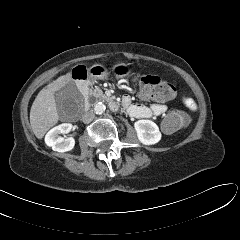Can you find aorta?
I'll use <instances>...</instances> for the list:
<instances>
[{
    "label": "aorta",
    "instance_id": "762f6f07",
    "mask_svg": "<svg viewBox=\"0 0 240 240\" xmlns=\"http://www.w3.org/2000/svg\"><path fill=\"white\" fill-rule=\"evenodd\" d=\"M105 109H106V106L102 102H98L94 105V111L98 115L104 113Z\"/></svg>",
    "mask_w": 240,
    "mask_h": 240
}]
</instances>
